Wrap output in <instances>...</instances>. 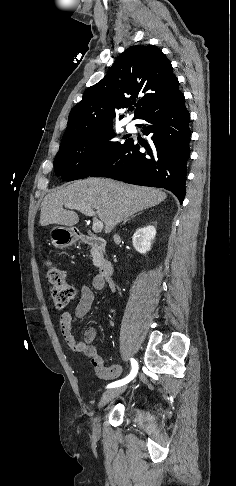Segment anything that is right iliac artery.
Listing matches in <instances>:
<instances>
[{
  "mask_svg": "<svg viewBox=\"0 0 236 486\" xmlns=\"http://www.w3.org/2000/svg\"><path fill=\"white\" fill-rule=\"evenodd\" d=\"M131 366H132L131 373L126 378L119 380V381H115V382L109 384L107 387L108 388L118 387V386H122V385L130 382L136 376V374L138 372V363L133 358H131Z\"/></svg>",
  "mask_w": 236,
  "mask_h": 486,
  "instance_id": "1",
  "label": "right iliac artery"
}]
</instances>
